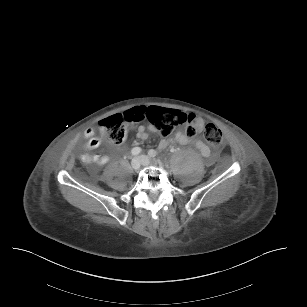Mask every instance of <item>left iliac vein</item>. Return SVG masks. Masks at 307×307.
Masks as SVG:
<instances>
[{"mask_svg":"<svg viewBox=\"0 0 307 307\" xmlns=\"http://www.w3.org/2000/svg\"><path fill=\"white\" fill-rule=\"evenodd\" d=\"M140 162L143 166H148L151 164H157V161L152 160L151 158H149L146 155H141L139 156Z\"/></svg>","mask_w":307,"mask_h":307,"instance_id":"1","label":"left iliac vein"}]
</instances>
